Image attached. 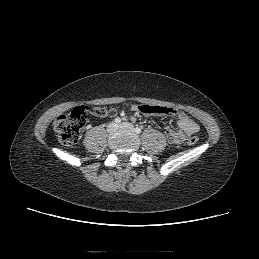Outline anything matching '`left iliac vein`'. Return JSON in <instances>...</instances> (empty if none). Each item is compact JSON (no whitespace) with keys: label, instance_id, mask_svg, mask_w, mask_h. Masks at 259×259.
<instances>
[{"label":"left iliac vein","instance_id":"4c4485c4","mask_svg":"<svg viewBox=\"0 0 259 259\" xmlns=\"http://www.w3.org/2000/svg\"><path fill=\"white\" fill-rule=\"evenodd\" d=\"M119 128L135 132V128L131 123L123 122L119 125Z\"/></svg>","mask_w":259,"mask_h":259}]
</instances>
